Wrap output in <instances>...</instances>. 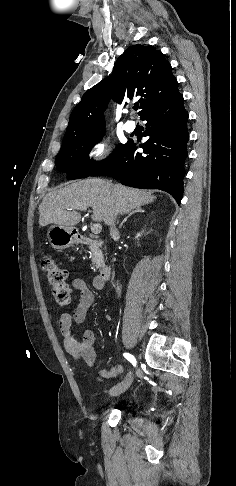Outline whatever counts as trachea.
Masks as SVG:
<instances>
[{
	"mask_svg": "<svg viewBox=\"0 0 236 486\" xmlns=\"http://www.w3.org/2000/svg\"><path fill=\"white\" fill-rule=\"evenodd\" d=\"M133 109H134V110H137V109H138V106H134V107H133Z\"/></svg>",
	"mask_w": 236,
	"mask_h": 486,
	"instance_id": "1",
	"label": "trachea"
}]
</instances>
